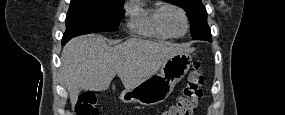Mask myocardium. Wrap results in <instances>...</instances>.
Returning a JSON list of instances; mask_svg holds the SVG:
<instances>
[{"label":"myocardium","instance_id":"f54148a6","mask_svg":"<svg viewBox=\"0 0 285 115\" xmlns=\"http://www.w3.org/2000/svg\"><path fill=\"white\" fill-rule=\"evenodd\" d=\"M172 9L179 11L183 17V20H184L185 28H184V31L180 34H175V33L171 32V30L169 29V27L166 23V20H165L166 12L168 10H172ZM160 22H161V25L163 26L164 30L171 37H181V36L186 34V32L188 31V28H189V20H188V16H187L186 11L183 8H181L177 5H173V4H167V5L162 6V8L160 10Z\"/></svg>","mask_w":285,"mask_h":115}]
</instances>
